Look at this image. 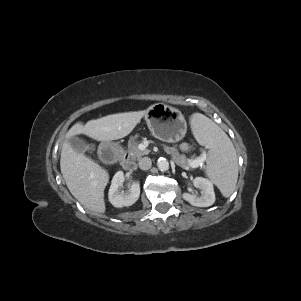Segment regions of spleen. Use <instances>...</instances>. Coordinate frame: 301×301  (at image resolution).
I'll return each mask as SVG.
<instances>
[{"mask_svg": "<svg viewBox=\"0 0 301 301\" xmlns=\"http://www.w3.org/2000/svg\"><path fill=\"white\" fill-rule=\"evenodd\" d=\"M191 127L198 142L209 149L207 176L224 197H229L238 179L237 155L230 138L217 124L200 113L192 115Z\"/></svg>", "mask_w": 301, "mask_h": 301, "instance_id": "1", "label": "spleen"}]
</instances>
